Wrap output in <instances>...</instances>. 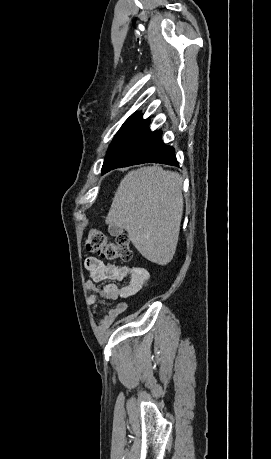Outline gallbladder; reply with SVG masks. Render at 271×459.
I'll list each match as a JSON object with an SVG mask.
<instances>
[{
    "instance_id": "bac80fb5",
    "label": "gallbladder",
    "mask_w": 271,
    "mask_h": 459,
    "mask_svg": "<svg viewBox=\"0 0 271 459\" xmlns=\"http://www.w3.org/2000/svg\"><path fill=\"white\" fill-rule=\"evenodd\" d=\"M124 228H120V226H113V224H109L108 231L110 235H121L123 233Z\"/></svg>"
}]
</instances>
